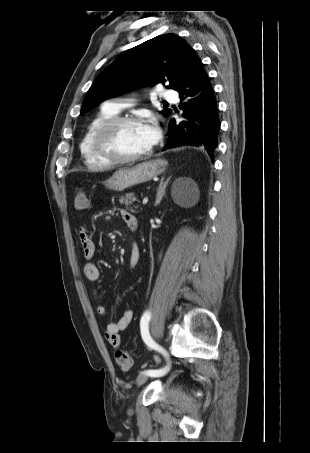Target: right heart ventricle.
<instances>
[{
	"label": "right heart ventricle",
	"instance_id": "e07e8e85",
	"mask_svg": "<svg viewBox=\"0 0 310 453\" xmlns=\"http://www.w3.org/2000/svg\"><path fill=\"white\" fill-rule=\"evenodd\" d=\"M116 112L103 106L89 122L79 144L80 153L85 164L92 169L107 168L112 164L98 156L92 146V139L96 130L107 120L115 117Z\"/></svg>",
	"mask_w": 310,
	"mask_h": 453
}]
</instances>
